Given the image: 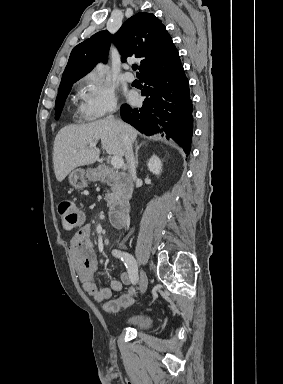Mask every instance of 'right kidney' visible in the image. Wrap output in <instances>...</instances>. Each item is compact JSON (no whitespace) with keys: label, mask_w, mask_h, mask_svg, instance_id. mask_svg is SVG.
I'll return each mask as SVG.
<instances>
[{"label":"right kidney","mask_w":283,"mask_h":384,"mask_svg":"<svg viewBox=\"0 0 283 384\" xmlns=\"http://www.w3.org/2000/svg\"><path fill=\"white\" fill-rule=\"evenodd\" d=\"M148 168L152 174H155V176H159L161 174L162 170V164L160 158L158 156H152L148 162Z\"/></svg>","instance_id":"right-kidney-1"}]
</instances>
